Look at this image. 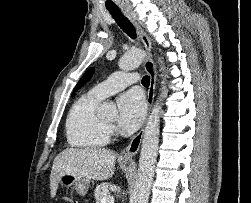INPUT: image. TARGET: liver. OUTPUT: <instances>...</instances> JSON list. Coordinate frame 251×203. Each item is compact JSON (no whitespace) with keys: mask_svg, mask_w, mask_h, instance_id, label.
<instances>
[{"mask_svg":"<svg viewBox=\"0 0 251 203\" xmlns=\"http://www.w3.org/2000/svg\"><path fill=\"white\" fill-rule=\"evenodd\" d=\"M116 154L105 148H67L56 156L50 176V194L54 198L63 174L107 180L114 174Z\"/></svg>","mask_w":251,"mask_h":203,"instance_id":"liver-1","label":"liver"}]
</instances>
